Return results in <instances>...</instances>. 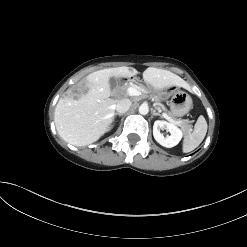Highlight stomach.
<instances>
[{
  "label": "stomach",
  "mask_w": 247,
  "mask_h": 247,
  "mask_svg": "<svg viewBox=\"0 0 247 247\" xmlns=\"http://www.w3.org/2000/svg\"><path fill=\"white\" fill-rule=\"evenodd\" d=\"M170 113L176 117H182L192 108L191 96L177 87H172L169 103Z\"/></svg>",
  "instance_id": "obj_1"
}]
</instances>
